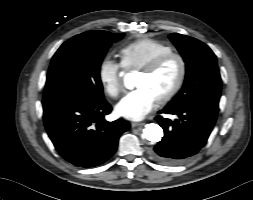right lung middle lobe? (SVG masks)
Listing matches in <instances>:
<instances>
[{"instance_id":"1","label":"right lung middle lobe","mask_w":253,"mask_h":200,"mask_svg":"<svg viewBox=\"0 0 253 200\" xmlns=\"http://www.w3.org/2000/svg\"><path fill=\"white\" fill-rule=\"evenodd\" d=\"M124 33L97 36L87 32L67 40L54 54L43 101L69 99L85 103L104 100L101 62L112 43Z\"/></svg>"}]
</instances>
